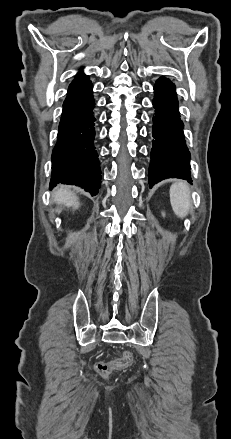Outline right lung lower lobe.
<instances>
[{"instance_id": "right-lung-lower-lobe-1", "label": "right lung lower lobe", "mask_w": 231, "mask_h": 439, "mask_svg": "<svg viewBox=\"0 0 231 439\" xmlns=\"http://www.w3.org/2000/svg\"><path fill=\"white\" fill-rule=\"evenodd\" d=\"M92 88L88 77L69 86L52 152L50 186L57 183L78 185L94 196L100 188L101 170L93 143L95 103Z\"/></svg>"}]
</instances>
